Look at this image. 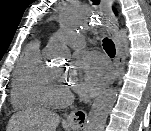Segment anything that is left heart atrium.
Listing matches in <instances>:
<instances>
[{
    "mask_svg": "<svg viewBox=\"0 0 151 131\" xmlns=\"http://www.w3.org/2000/svg\"><path fill=\"white\" fill-rule=\"evenodd\" d=\"M108 79V69L99 57L87 53L75 57L69 77V84L74 92L83 97H92Z\"/></svg>",
    "mask_w": 151,
    "mask_h": 131,
    "instance_id": "1",
    "label": "left heart atrium"
}]
</instances>
